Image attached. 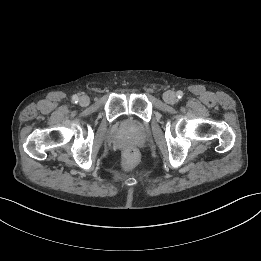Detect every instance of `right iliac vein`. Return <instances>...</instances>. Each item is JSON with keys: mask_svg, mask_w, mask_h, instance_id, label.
<instances>
[{"mask_svg": "<svg viewBox=\"0 0 261 261\" xmlns=\"http://www.w3.org/2000/svg\"><path fill=\"white\" fill-rule=\"evenodd\" d=\"M89 102H90V100H89V98L87 96H82L79 99V104L81 106H87L89 104Z\"/></svg>", "mask_w": 261, "mask_h": 261, "instance_id": "63e3f726", "label": "right iliac vein"}]
</instances>
